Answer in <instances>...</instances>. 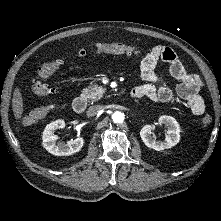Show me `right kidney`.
I'll return each mask as SVG.
<instances>
[{"instance_id":"obj_1","label":"right kidney","mask_w":221,"mask_h":221,"mask_svg":"<svg viewBox=\"0 0 221 221\" xmlns=\"http://www.w3.org/2000/svg\"><path fill=\"white\" fill-rule=\"evenodd\" d=\"M66 123L63 119H58L49 123L43 131V147L53 155L56 156H68L76 152H79L84 144V139L78 137L74 140H70L67 143L56 142L58 136L54 134L56 129L65 128Z\"/></svg>"}]
</instances>
